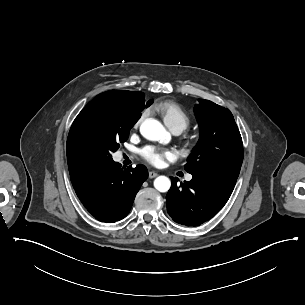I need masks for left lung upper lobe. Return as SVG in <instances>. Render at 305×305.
<instances>
[{
	"label": "left lung upper lobe",
	"mask_w": 305,
	"mask_h": 305,
	"mask_svg": "<svg viewBox=\"0 0 305 305\" xmlns=\"http://www.w3.org/2000/svg\"><path fill=\"white\" fill-rule=\"evenodd\" d=\"M194 112L200 138L184 169L191 174L237 179L243 161V144L232 113L204 99L199 100Z\"/></svg>",
	"instance_id": "obj_1"
}]
</instances>
